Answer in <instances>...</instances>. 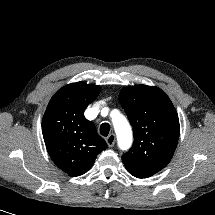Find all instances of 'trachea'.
Here are the masks:
<instances>
[{
	"mask_svg": "<svg viewBox=\"0 0 215 215\" xmlns=\"http://www.w3.org/2000/svg\"><path fill=\"white\" fill-rule=\"evenodd\" d=\"M110 131V125L108 123H102L100 126V134L102 136H108Z\"/></svg>",
	"mask_w": 215,
	"mask_h": 215,
	"instance_id": "trachea-1",
	"label": "trachea"
}]
</instances>
